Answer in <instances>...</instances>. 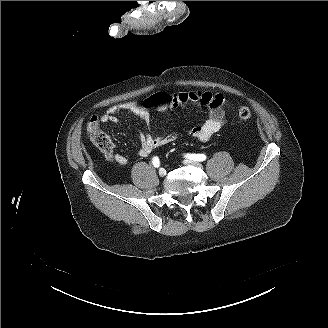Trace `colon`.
I'll use <instances>...</instances> for the list:
<instances>
[{
  "label": "colon",
  "mask_w": 328,
  "mask_h": 328,
  "mask_svg": "<svg viewBox=\"0 0 328 328\" xmlns=\"http://www.w3.org/2000/svg\"><path fill=\"white\" fill-rule=\"evenodd\" d=\"M173 94L157 93L147 98L143 106L145 108L166 106L174 102ZM251 111L248 107H241L238 110V117L241 120H248L251 118ZM87 131L94 145L103 153H110L113 150V142L111 138L100 128L99 119L92 117L87 125Z\"/></svg>",
  "instance_id": "colon-1"
}]
</instances>
